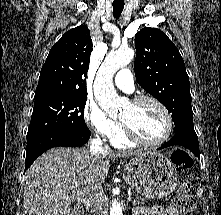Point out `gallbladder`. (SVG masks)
Instances as JSON below:
<instances>
[{"instance_id": "1", "label": "gallbladder", "mask_w": 221, "mask_h": 215, "mask_svg": "<svg viewBox=\"0 0 221 215\" xmlns=\"http://www.w3.org/2000/svg\"><path fill=\"white\" fill-rule=\"evenodd\" d=\"M72 212H73V215H81V214H80L81 211H80L79 209H77V208H74V209L72 210Z\"/></svg>"}]
</instances>
